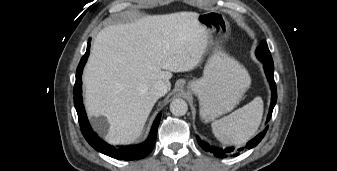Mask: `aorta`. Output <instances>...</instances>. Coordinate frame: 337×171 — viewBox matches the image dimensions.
<instances>
[{"label": "aorta", "mask_w": 337, "mask_h": 171, "mask_svg": "<svg viewBox=\"0 0 337 171\" xmlns=\"http://www.w3.org/2000/svg\"><path fill=\"white\" fill-rule=\"evenodd\" d=\"M170 111L175 116H183L188 111V105L185 100L177 98L170 103Z\"/></svg>", "instance_id": "762f6f07"}]
</instances>
